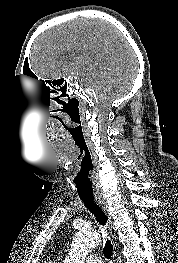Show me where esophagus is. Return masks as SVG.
<instances>
[{
    "instance_id": "obj_1",
    "label": "esophagus",
    "mask_w": 178,
    "mask_h": 263,
    "mask_svg": "<svg viewBox=\"0 0 178 263\" xmlns=\"http://www.w3.org/2000/svg\"><path fill=\"white\" fill-rule=\"evenodd\" d=\"M95 201L100 205V207L103 209V211L105 212V214H106V216L108 218V225H109L110 236L112 238L114 246H117L116 230L114 228L112 216H111V214L109 212L107 201L104 198V196H101V195L100 196H95ZM112 258H113V262L112 263L118 262V255H117L116 251L113 252Z\"/></svg>"
}]
</instances>
